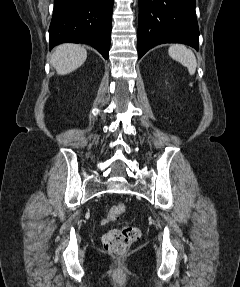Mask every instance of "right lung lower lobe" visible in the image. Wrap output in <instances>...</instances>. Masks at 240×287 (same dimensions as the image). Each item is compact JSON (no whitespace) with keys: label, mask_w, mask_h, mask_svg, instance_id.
<instances>
[{"label":"right lung lower lobe","mask_w":240,"mask_h":287,"mask_svg":"<svg viewBox=\"0 0 240 287\" xmlns=\"http://www.w3.org/2000/svg\"><path fill=\"white\" fill-rule=\"evenodd\" d=\"M113 1L54 0L50 49L64 42L85 43L108 59Z\"/></svg>","instance_id":"1"}]
</instances>
